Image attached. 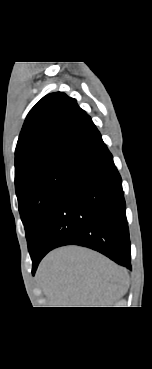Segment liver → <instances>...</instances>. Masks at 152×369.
<instances>
[{
	"label": "liver",
	"instance_id": "liver-1",
	"mask_svg": "<svg viewBox=\"0 0 152 369\" xmlns=\"http://www.w3.org/2000/svg\"><path fill=\"white\" fill-rule=\"evenodd\" d=\"M37 275L52 307H109L129 288L125 268L95 251L77 246L50 252Z\"/></svg>",
	"mask_w": 152,
	"mask_h": 369
}]
</instances>
